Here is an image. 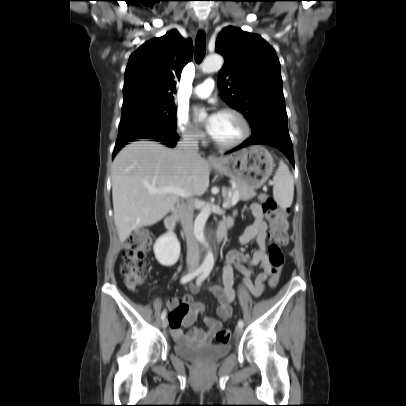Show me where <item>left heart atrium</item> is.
I'll return each mask as SVG.
<instances>
[{
    "label": "left heart atrium",
    "instance_id": "39dd6f15",
    "mask_svg": "<svg viewBox=\"0 0 406 406\" xmlns=\"http://www.w3.org/2000/svg\"><path fill=\"white\" fill-rule=\"evenodd\" d=\"M218 115H219V113L212 112V113L209 114V116L207 118L206 126H207V129H208V131L210 133L213 131V129H214L216 123H217Z\"/></svg>",
    "mask_w": 406,
    "mask_h": 406
}]
</instances>
